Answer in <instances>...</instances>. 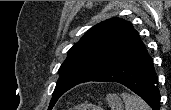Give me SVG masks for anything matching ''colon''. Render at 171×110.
I'll use <instances>...</instances> for the list:
<instances>
[{
	"instance_id": "5ec220e1",
	"label": "colon",
	"mask_w": 171,
	"mask_h": 110,
	"mask_svg": "<svg viewBox=\"0 0 171 110\" xmlns=\"http://www.w3.org/2000/svg\"><path fill=\"white\" fill-rule=\"evenodd\" d=\"M73 110H81V108L75 107V108H73Z\"/></svg>"
}]
</instances>
